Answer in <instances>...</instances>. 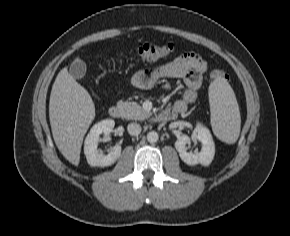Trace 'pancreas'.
Here are the masks:
<instances>
[{"label": "pancreas", "instance_id": "1", "mask_svg": "<svg viewBox=\"0 0 290 236\" xmlns=\"http://www.w3.org/2000/svg\"><path fill=\"white\" fill-rule=\"evenodd\" d=\"M117 108L121 111L122 117L127 120H145L151 116L150 112L144 110L136 102L119 101Z\"/></svg>", "mask_w": 290, "mask_h": 236}]
</instances>
